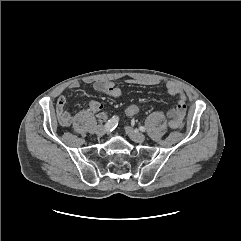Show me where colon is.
I'll list each match as a JSON object with an SVG mask.
<instances>
[{"mask_svg":"<svg viewBox=\"0 0 241 241\" xmlns=\"http://www.w3.org/2000/svg\"><path fill=\"white\" fill-rule=\"evenodd\" d=\"M139 111H140V108H139L137 105L132 104V105H129V106L125 109V114H126L127 116L132 117V116L137 115V114L139 113ZM181 126H182V124L178 125L177 128H180Z\"/></svg>","mask_w":241,"mask_h":241,"instance_id":"colon-1","label":"colon"}]
</instances>
